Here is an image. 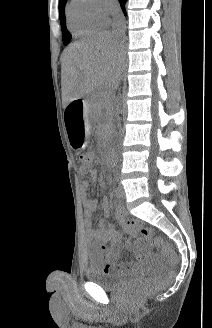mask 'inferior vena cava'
Instances as JSON below:
<instances>
[{
    "mask_svg": "<svg viewBox=\"0 0 212 328\" xmlns=\"http://www.w3.org/2000/svg\"><path fill=\"white\" fill-rule=\"evenodd\" d=\"M110 13L113 18L112 33L121 39L125 31V21L120 6L117 3L112 4L110 7Z\"/></svg>",
    "mask_w": 212,
    "mask_h": 328,
    "instance_id": "inferior-vena-cava-1",
    "label": "inferior vena cava"
}]
</instances>
